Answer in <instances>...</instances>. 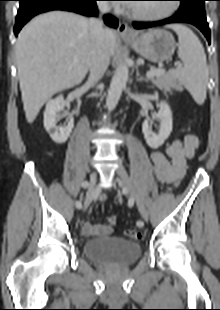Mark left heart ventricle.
I'll list each match as a JSON object with an SVG mask.
<instances>
[{
    "label": "left heart ventricle",
    "instance_id": "obj_1",
    "mask_svg": "<svg viewBox=\"0 0 220 310\" xmlns=\"http://www.w3.org/2000/svg\"><path fill=\"white\" fill-rule=\"evenodd\" d=\"M166 5L159 4V5H151V6H145V5H136L132 8V10L140 11L148 14H157L162 12L165 9Z\"/></svg>",
    "mask_w": 220,
    "mask_h": 310
}]
</instances>
